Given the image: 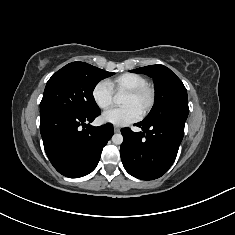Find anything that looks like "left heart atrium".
<instances>
[{
    "label": "left heart atrium",
    "mask_w": 235,
    "mask_h": 235,
    "mask_svg": "<svg viewBox=\"0 0 235 235\" xmlns=\"http://www.w3.org/2000/svg\"><path fill=\"white\" fill-rule=\"evenodd\" d=\"M102 119L116 126H125L139 120L140 112L131 105H123L107 110L103 113Z\"/></svg>",
    "instance_id": "1"
}]
</instances>
